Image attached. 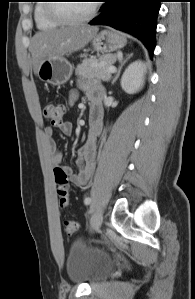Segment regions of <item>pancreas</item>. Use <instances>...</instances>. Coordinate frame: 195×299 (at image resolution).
<instances>
[{"mask_svg": "<svg viewBox=\"0 0 195 299\" xmlns=\"http://www.w3.org/2000/svg\"><path fill=\"white\" fill-rule=\"evenodd\" d=\"M116 61V55H103L97 58H85L82 63L77 65L76 75L103 81H109L111 73L107 72V68L113 66Z\"/></svg>", "mask_w": 195, "mask_h": 299, "instance_id": "obj_1", "label": "pancreas"}]
</instances>
